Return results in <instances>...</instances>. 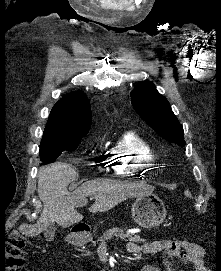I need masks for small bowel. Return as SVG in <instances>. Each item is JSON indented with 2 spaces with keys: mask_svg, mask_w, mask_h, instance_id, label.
I'll list each match as a JSON object with an SVG mask.
<instances>
[{
  "mask_svg": "<svg viewBox=\"0 0 221 271\" xmlns=\"http://www.w3.org/2000/svg\"><path fill=\"white\" fill-rule=\"evenodd\" d=\"M126 249L133 255H154L165 253V271H209L204 262V252L200 245L186 240L159 239L144 244L130 241ZM141 271H160L157 266L146 265Z\"/></svg>",
  "mask_w": 221,
  "mask_h": 271,
  "instance_id": "c3829d8e",
  "label": "small bowel"
}]
</instances>
